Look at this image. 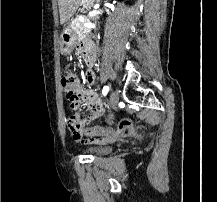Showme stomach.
I'll list each match as a JSON object with an SVG mask.
<instances>
[{
  "instance_id": "0dacf381",
  "label": "stomach",
  "mask_w": 217,
  "mask_h": 202,
  "mask_svg": "<svg viewBox=\"0 0 217 202\" xmlns=\"http://www.w3.org/2000/svg\"><path fill=\"white\" fill-rule=\"evenodd\" d=\"M93 2H95V0H82L81 6L83 10H90V8L93 6ZM60 38V52L62 56H68V54H71V52H73L79 40L78 34H76L74 30H71L69 26H65L64 30L61 32Z\"/></svg>"
}]
</instances>
